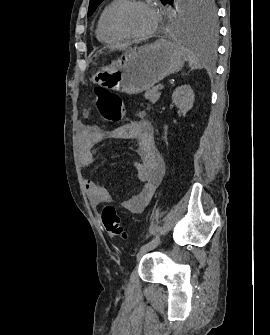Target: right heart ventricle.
<instances>
[{"mask_svg": "<svg viewBox=\"0 0 270 335\" xmlns=\"http://www.w3.org/2000/svg\"><path fill=\"white\" fill-rule=\"evenodd\" d=\"M126 0H110L102 9L96 28V37L103 44H114L124 38L116 34L111 27V16L113 12Z\"/></svg>", "mask_w": 270, "mask_h": 335, "instance_id": "right-heart-ventricle-1", "label": "right heart ventricle"}]
</instances>
